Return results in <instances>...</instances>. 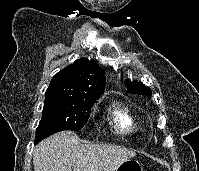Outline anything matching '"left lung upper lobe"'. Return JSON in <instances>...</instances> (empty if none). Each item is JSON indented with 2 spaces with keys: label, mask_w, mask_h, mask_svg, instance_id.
<instances>
[{
  "label": "left lung upper lobe",
  "mask_w": 199,
  "mask_h": 171,
  "mask_svg": "<svg viewBox=\"0 0 199 171\" xmlns=\"http://www.w3.org/2000/svg\"><path fill=\"white\" fill-rule=\"evenodd\" d=\"M125 84L128 88V90L133 94H141V95H151V89L149 87H146L141 82H131L130 80H126Z\"/></svg>",
  "instance_id": "5c2ea615"
}]
</instances>
